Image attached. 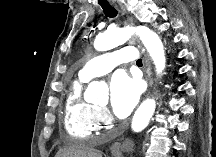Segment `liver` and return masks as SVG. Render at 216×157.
Returning a JSON list of instances; mask_svg holds the SVG:
<instances>
[{
  "label": "liver",
  "mask_w": 216,
  "mask_h": 157,
  "mask_svg": "<svg viewBox=\"0 0 216 157\" xmlns=\"http://www.w3.org/2000/svg\"><path fill=\"white\" fill-rule=\"evenodd\" d=\"M57 157H102V153L84 143L75 142L59 151Z\"/></svg>",
  "instance_id": "obj_1"
}]
</instances>
